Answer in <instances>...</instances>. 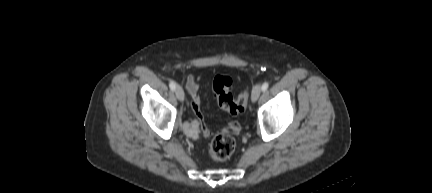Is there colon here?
Listing matches in <instances>:
<instances>
[{
	"mask_svg": "<svg viewBox=\"0 0 432 193\" xmlns=\"http://www.w3.org/2000/svg\"><path fill=\"white\" fill-rule=\"evenodd\" d=\"M232 79L225 75H217L213 81V93L219 106L231 114L242 113L248 102V93L245 91L234 96L231 90ZM235 140L225 133H217L209 146V155L216 162L226 161L235 150Z\"/></svg>",
	"mask_w": 432,
	"mask_h": 193,
	"instance_id": "1",
	"label": "colon"
}]
</instances>
